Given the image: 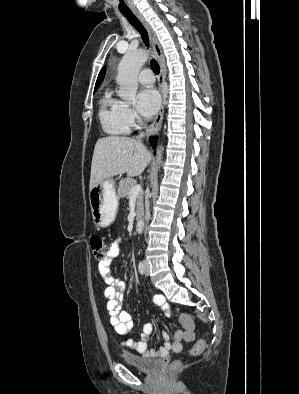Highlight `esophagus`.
Returning a JSON list of instances; mask_svg holds the SVG:
<instances>
[{"label":"esophagus","instance_id":"esophagus-1","mask_svg":"<svg viewBox=\"0 0 299 394\" xmlns=\"http://www.w3.org/2000/svg\"><path fill=\"white\" fill-rule=\"evenodd\" d=\"M134 13L140 19V21L144 24V26L146 27V29L148 31L154 53H155L156 59L159 63V67H160V74L158 76V85H159V92L161 94L162 102H161V107L159 109L158 114L156 115L152 124L147 129V134L151 135V134L157 133L160 130V128L162 126L163 115H164V103H165V95L163 92V85H164V81H165L164 55H163V51L160 46V43L156 37V34H155L154 30L152 29V27L150 26V24L144 19V17L141 14H139L138 12H134Z\"/></svg>","mask_w":299,"mask_h":394}]
</instances>
